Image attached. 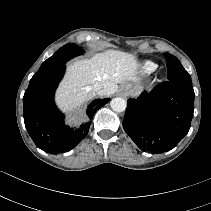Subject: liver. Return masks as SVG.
<instances>
[{
  "mask_svg": "<svg viewBox=\"0 0 211 211\" xmlns=\"http://www.w3.org/2000/svg\"><path fill=\"white\" fill-rule=\"evenodd\" d=\"M139 62L129 53L108 50L90 59H78L67 67L65 78L56 91V102L65 112H75L97 93L92 89L95 83L103 87L101 96L117 92L118 84L126 81L138 83Z\"/></svg>",
  "mask_w": 211,
  "mask_h": 211,
  "instance_id": "liver-1",
  "label": "liver"
}]
</instances>
